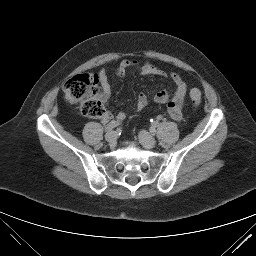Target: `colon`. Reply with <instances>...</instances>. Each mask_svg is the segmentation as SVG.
I'll return each instance as SVG.
<instances>
[{"label": "colon", "instance_id": "colon-1", "mask_svg": "<svg viewBox=\"0 0 256 256\" xmlns=\"http://www.w3.org/2000/svg\"><path fill=\"white\" fill-rule=\"evenodd\" d=\"M63 94L67 103L78 104L84 116L102 118L106 109L98 99L99 79L95 74H78L69 78L63 85ZM193 106L201 103V92L194 88L190 91Z\"/></svg>", "mask_w": 256, "mask_h": 256}]
</instances>
